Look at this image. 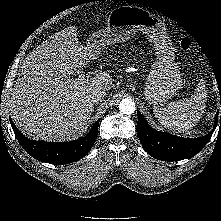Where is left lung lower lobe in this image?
I'll use <instances>...</instances> for the list:
<instances>
[{"label":"left lung lower lobe","mask_w":221,"mask_h":221,"mask_svg":"<svg viewBox=\"0 0 221 221\" xmlns=\"http://www.w3.org/2000/svg\"><path fill=\"white\" fill-rule=\"evenodd\" d=\"M137 115L136 129L144 150L152 157L162 161H179L196 155L210 140L218 122L217 112L213 130L203 137L190 139L156 131L149 126L139 111H137Z\"/></svg>","instance_id":"0a47b994"}]
</instances>
